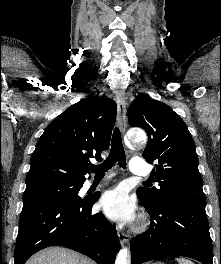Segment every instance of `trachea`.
<instances>
[{"label":"trachea","mask_w":221,"mask_h":264,"mask_svg":"<svg viewBox=\"0 0 221 264\" xmlns=\"http://www.w3.org/2000/svg\"><path fill=\"white\" fill-rule=\"evenodd\" d=\"M116 162H118L120 167H126V156L122 144L121 133L117 127L113 132L109 156L106 158V160H104L103 163L97 166H91L90 169L96 174V176L104 175L105 172L111 169ZM145 183H147V181Z\"/></svg>","instance_id":"1"}]
</instances>
